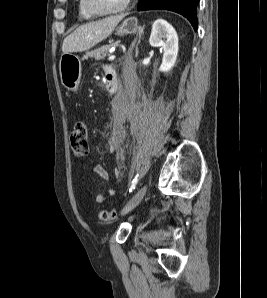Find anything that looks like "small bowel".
<instances>
[{
	"label": "small bowel",
	"instance_id": "obj_1",
	"mask_svg": "<svg viewBox=\"0 0 267 298\" xmlns=\"http://www.w3.org/2000/svg\"><path fill=\"white\" fill-rule=\"evenodd\" d=\"M104 70L107 71L111 66L109 65H104ZM119 105H124V103L122 101L119 102ZM124 111H129V112H133L132 109L128 108L127 106H124ZM92 172L97 175L98 177L102 178V179H108L109 175L108 172L105 170V168L100 165V164H95L92 168ZM116 194V189L112 188L108 191V194H98L95 198L97 203H103L107 200L108 197L114 196Z\"/></svg>",
	"mask_w": 267,
	"mask_h": 298
}]
</instances>
